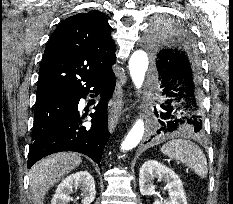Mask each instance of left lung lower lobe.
<instances>
[{"mask_svg":"<svg viewBox=\"0 0 233 204\" xmlns=\"http://www.w3.org/2000/svg\"><path fill=\"white\" fill-rule=\"evenodd\" d=\"M155 65L153 88L159 99L154 107L152 131L155 135L175 131H202L200 74L193 59L180 51L167 49Z\"/></svg>","mask_w":233,"mask_h":204,"instance_id":"0a47b994","label":"left lung lower lobe"}]
</instances>
